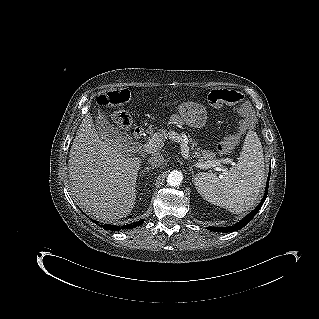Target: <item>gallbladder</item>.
<instances>
[{
    "label": "gallbladder",
    "instance_id": "obj_1",
    "mask_svg": "<svg viewBox=\"0 0 319 319\" xmlns=\"http://www.w3.org/2000/svg\"><path fill=\"white\" fill-rule=\"evenodd\" d=\"M95 125L97 130L108 139L116 140L125 138V134L116 129L114 125L109 122L107 117L100 112L96 116Z\"/></svg>",
    "mask_w": 319,
    "mask_h": 319
}]
</instances>
